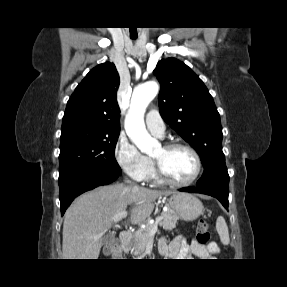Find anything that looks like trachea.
<instances>
[{"mask_svg": "<svg viewBox=\"0 0 287 287\" xmlns=\"http://www.w3.org/2000/svg\"><path fill=\"white\" fill-rule=\"evenodd\" d=\"M137 38V36H131V39H136Z\"/></svg>", "mask_w": 287, "mask_h": 287, "instance_id": "obj_1", "label": "trachea"}]
</instances>
